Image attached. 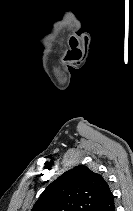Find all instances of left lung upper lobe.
Here are the masks:
<instances>
[{
	"mask_svg": "<svg viewBox=\"0 0 133 211\" xmlns=\"http://www.w3.org/2000/svg\"><path fill=\"white\" fill-rule=\"evenodd\" d=\"M110 194L101 175L79 165L49 184L31 211H93Z\"/></svg>",
	"mask_w": 133,
	"mask_h": 211,
	"instance_id": "1",
	"label": "left lung upper lobe"
}]
</instances>
